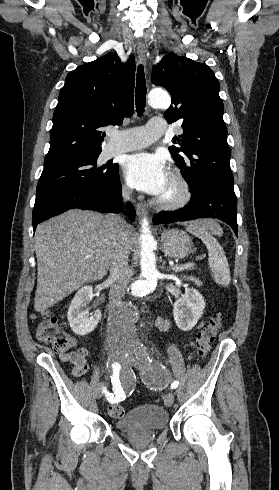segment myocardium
<instances>
[{
	"instance_id": "f54148a6",
	"label": "myocardium",
	"mask_w": 279,
	"mask_h": 490,
	"mask_svg": "<svg viewBox=\"0 0 279 490\" xmlns=\"http://www.w3.org/2000/svg\"><path fill=\"white\" fill-rule=\"evenodd\" d=\"M172 185L177 189L178 194L172 199L159 198L156 205L164 211H176L183 208L191 200L192 194L189 183L177 168L170 172Z\"/></svg>"
}]
</instances>
